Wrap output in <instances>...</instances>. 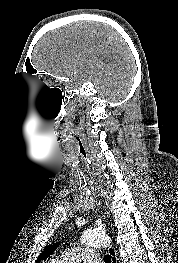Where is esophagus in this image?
<instances>
[{"instance_id":"1","label":"esophagus","mask_w":178,"mask_h":263,"mask_svg":"<svg viewBox=\"0 0 178 263\" xmlns=\"http://www.w3.org/2000/svg\"><path fill=\"white\" fill-rule=\"evenodd\" d=\"M108 252L111 255V263H117V254H116V250L114 249L113 246H110L108 248Z\"/></svg>"}]
</instances>
